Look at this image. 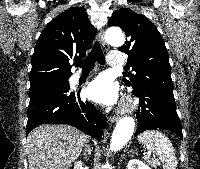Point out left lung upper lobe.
Returning a JSON list of instances; mask_svg holds the SVG:
<instances>
[{
    "mask_svg": "<svg viewBox=\"0 0 200 169\" xmlns=\"http://www.w3.org/2000/svg\"><path fill=\"white\" fill-rule=\"evenodd\" d=\"M108 25L121 27L129 38L119 50L128 55V64L135 71L124 73L123 77L133 93L146 87L173 91L168 53L154 24L144 15L122 8L113 14Z\"/></svg>",
    "mask_w": 200,
    "mask_h": 169,
    "instance_id": "1",
    "label": "left lung upper lobe"
}]
</instances>
